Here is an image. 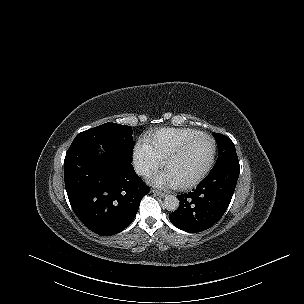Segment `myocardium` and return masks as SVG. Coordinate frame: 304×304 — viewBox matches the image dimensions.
Masks as SVG:
<instances>
[{
    "label": "myocardium",
    "instance_id": "1",
    "mask_svg": "<svg viewBox=\"0 0 304 304\" xmlns=\"http://www.w3.org/2000/svg\"><path fill=\"white\" fill-rule=\"evenodd\" d=\"M203 138H207L212 142V153L211 156L207 162V164L205 165V167L203 168V170L192 180L188 181V182H184V183H177L176 187L179 189H188L191 187L196 186L197 184H199L205 177L206 175L209 173V171L212 168V165L214 163L215 160V156H216V150H217V145H216V141L215 139L208 134H199L193 138H191L190 140L182 143L181 145H179L176 149H174L165 159L164 164H163V169L165 172H167L168 166L169 164L176 158L178 157L181 153H183L189 146H191L192 144L196 143L197 141L203 139Z\"/></svg>",
    "mask_w": 304,
    "mask_h": 304
}]
</instances>
